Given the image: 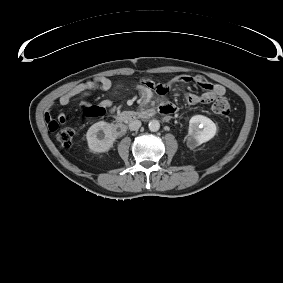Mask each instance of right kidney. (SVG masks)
Wrapping results in <instances>:
<instances>
[{"instance_id":"right-kidney-1","label":"right kidney","mask_w":283,"mask_h":283,"mask_svg":"<svg viewBox=\"0 0 283 283\" xmlns=\"http://www.w3.org/2000/svg\"><path fill=\"white\" fill-rule=\"evenodd\" d=\"M117 133L110 123L99 121L93 124L86 133L88 147L93 152H107L112 148Z\"/></svg>"}]
</instances>
